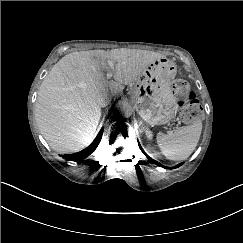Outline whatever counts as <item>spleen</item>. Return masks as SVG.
<instances>
[{"label":"spleen","mask_w":243,"mask_h":243,"mask_svg":"<svg viewBox=\"0 0 243 243\" xmlns=\"http://www.w3.org/2000/svg\"><path fill=\"white\" fill-rule=\"evenodd\" d=\"M202 132L201 121L191 125L179 127L173 133L164 134L159 131L156 141L160 150L171 160H184L188 158L196 148Z\"/></svg>","instance_id":"3e777b00"}]
</instances>
